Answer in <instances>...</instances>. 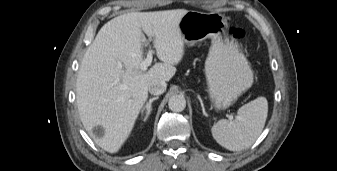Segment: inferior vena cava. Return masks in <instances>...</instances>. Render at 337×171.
<instances>
[{
	"instance_id": "inferior-vena-cava-1",
	"label": "inferior vena cava",
	"mask_w": 337,
	"mask_h": 171,
	"mask_svg": "<svg viewBox=\"0 0 337 171\" xmlns=\"http://www.w3.org/2000/svg\"><path fill=\"white\" fill-rule=\"evenodd\" d=\"M167 84L164 80H153L148 87V90L153 95H160L165 92Z\"/></svg>"
}]
</instances>
